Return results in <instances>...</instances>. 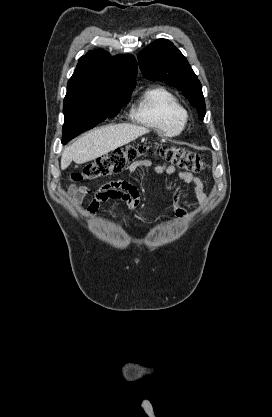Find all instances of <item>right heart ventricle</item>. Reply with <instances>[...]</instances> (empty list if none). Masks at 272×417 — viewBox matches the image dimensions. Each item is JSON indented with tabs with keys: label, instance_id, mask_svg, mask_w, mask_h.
<instances>
[{
	"label": "right heart ventricle",
	"instance_id": "obj_1",
	"mask_svg": "<svg viewBox=\"0 0 272 417\" xmlns=\"http://www.w3.org/2000/svg\"><path fill=\"white\" fill-rule=\"evenodd\" d=\"M131 116L136 122L168 137L179 135L187 120V112L178 97L162 86L147 89Z\"/></svg>",
	"mask_w": 272,
	"mask_h": 417
}]
</instances>
